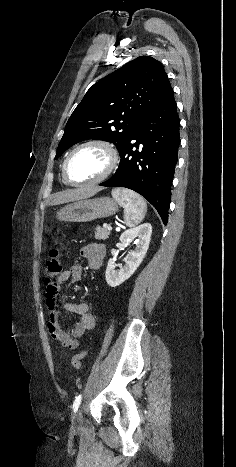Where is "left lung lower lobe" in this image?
I'll return each instance as SVG.
<instances>
[{
    "label": "left lung lower lobe",
    "instance_id": "0a47b994",
    "mask_svg": "<svg viewBox=\"0 0 236 467\" xmlns=\"http://www.w3.org/2000/svg\"><path fill=\"white\" fill-rule=\"evenodd\" d=\"M179 125L171 88L132 130L120 152L119 168L109 180L100 184L126 187L141 194L156 208L165 225L178 160Z\"/></svg>",
    "mask_w": 236,
    "mask_h": 467
}]
</instances>
